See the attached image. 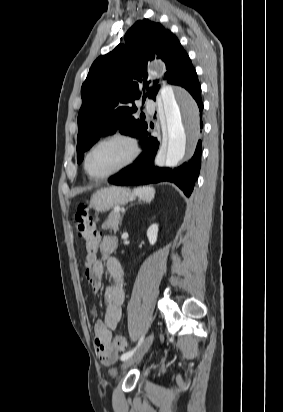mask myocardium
<instances>
[{
    "label": "myocardium",
    "mask_w": 283,
    "mask_h": 412,
    "mask_svg": "<svg viewBox=\"0 0 283 412\" xmlns=\"http://www.w3.org/2000/svg\"><path fill=\"white\" fill-rule=\"evenodd\" d=\"M112 140H122L125 141L129 144L131 152H130V156L128 157V159L122 163L120 166H118L117 168L102 174V175H95L93 173L90 172L89 168H88V159L90 154L92 153V151L98 147L100 144L108 142V141H112ZM141 152V147L139 144V141L137 140L136 137H134L133 135L127 133V132H122V131H117V132H113L110 133L108 135H105L103 137H101L100 139H98L97 141H95L86 151L85 156H84V160H83V167L84 170L86 172V174L95 180H103L106 179L114 174H117L119 172H121L122 170L128 168L131 164H133L135 162V160L138 158L139 154Z\"/></svg>",
    "instance_id": "f54148a6"
}]
</instances>
